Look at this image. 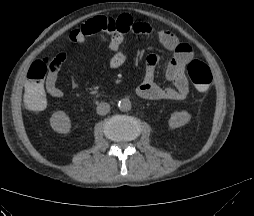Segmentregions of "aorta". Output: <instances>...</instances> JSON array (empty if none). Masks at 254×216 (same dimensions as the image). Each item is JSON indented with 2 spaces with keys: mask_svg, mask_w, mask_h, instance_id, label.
Listing matches in <instances>:
<instances>
[{
  "mask_svg": "<svg viewBox=\"0 0 254 216\" xmlns=\"http://www.w3.org/2000/svg\"><path fill=\"white\" fill-rule=\"evenodd\" d=\"M118 107H119L120 111L127 112V111L131 110V107H132L131 101L127 98H123L119 101Z\"/></svg>",
  "mask_w": 254,
  "mask_h": 216,
  "instance_id": "aorta-1",
  "label": "aorta"
}]
</instances>
